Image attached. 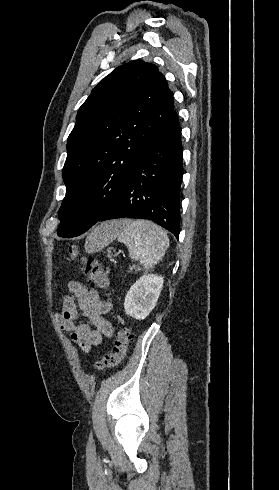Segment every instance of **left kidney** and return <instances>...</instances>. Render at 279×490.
Returning a JSON list of instances; mask_svg holds the SVG:
<instances>
[{
    "mask_svg": "<svg viewBox=\"0 0 279 490\" xmlns=\"http://www.w3.org/2000/svg\"><path fill=\"white\" fill-rule=\"evenodd\" d=\"M162 276L147 274L141 276L126 294L124 310L135 320H145L155 308L163 288Z\"/></svg>",
    "mask_w": 279,
    "mask_h": 490,
    "instance_id": "1",
    "label": "left kidney"
}]
</instances>
